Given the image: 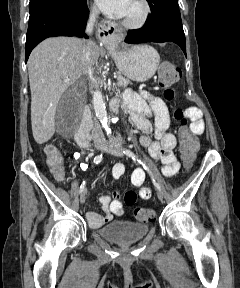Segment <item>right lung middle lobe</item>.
Segmentation results:
<instances>
[{"instance_id":"dd1d6c3e","label":"right lung middle lobe","mask_w":240,"mask_h":288,"mask_svg":"<svg viewBox=\"0 0 240 288\" xmlns=\"http://www.w3.org/2000/svg\"><path fill=\"white\" fill-rule=\"evenodd\" d=\"M81 0H30V17L54 5H75Z\"/></svg>"}]
</instances>
